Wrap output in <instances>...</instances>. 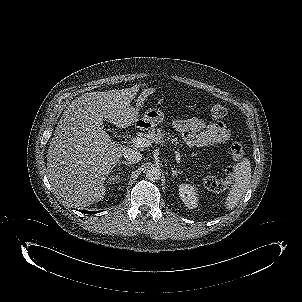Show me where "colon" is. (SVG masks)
<instances>
[{"mask_svg":"<svg viewBox=\"0 0 302 302\" xmlns=\"http://www.w3.org/2000/svg\"><path fill=\"white\" fill-rule=\"evenodd\" d=\"M209 112H210L211 116L214 118H222L226 115V108L219 103H214V104L210 105ZM231 154H232V158L235 162H239L243 159L244 150H243V146L241 145V143H239V142L232 143ZM234 173H235V167H229L226 172V175H227L226 180L227 181L230 180L231 177L234 175ZM204 184L208 189H210L212 191H220V190H223L225 187V182L217 179L216 177H214L212 175H208L205 177Z\"/></svg>","mask_w":302,"mask_h":302,"instance_id":"5ec220e1","label":"colon"}]
</instances>
